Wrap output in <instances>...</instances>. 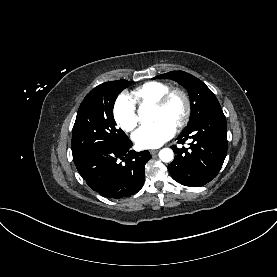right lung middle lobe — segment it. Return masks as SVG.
Listing matches in <instances>:
<instances>
[{"label":"right lung middle lobe","mask_w":277,"mask_h":277,"mask_svg":"<svg viewBox=\"0 0 277 277\" xmlns=\"http://www.w3.org/2000/svg\"><path fill=\"white\" fill-rule=\"evenodd\" d=\"M130 84L127 80L105 82L86 95L73 126V157L98 146L127 142L126 134L116 128L113 107L118 94Z\"/></svg>","instance_id":"right-lung-middle-lobe-1"}]
</instances>
